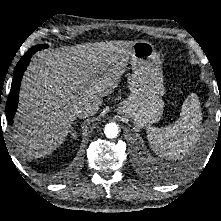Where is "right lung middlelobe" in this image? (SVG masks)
I'll return each mask as SVG.
<instances>
[{
	"label": "right lung middle lobe",
	"instance_id": "dd1d6c3e",
	"mask_svg": "<svg viewBox=\"0 0 221 221\" xmlns=\"http://www.w3.org/2000/svg\"><path fill=\"white\" fill-rule=\"evenodd\" d=\"M47 46L46 45H36L34 47H32L33 49H36V50H41V49H45Z\"/></svg>",
	"mask_w": 221,
	"mask_h": 221
}]
</instances>
